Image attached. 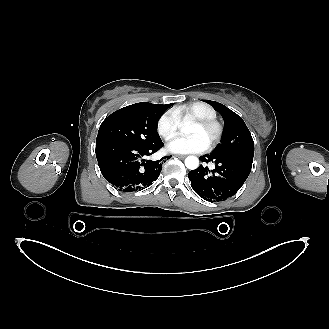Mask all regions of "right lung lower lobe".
<instances>
[{"instance_id":"obj_1","label":"right lung lower lobe","mask_w":329,"mask_h":329,"mask_svg":"<svg viewBox=\"0 0 329 329\" xmlns=\"http://www.w3.org/2000/svg\"><path fill=\"white\" fill-rule=\"evenodd\" d=\"M163 146V142L142 146L116 141L96 143V157L104 178L121 192L149 187L159 177L163 159L145 160Z\"/></svg>"}]
</instances>
